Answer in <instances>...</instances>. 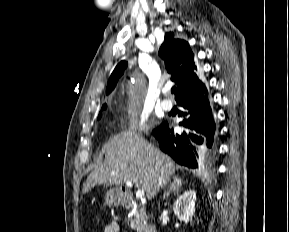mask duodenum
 I'll return each mask as SVG.
<instances>
[{"label":"duodenum","mask_w":289,"mask_h":232,"mask_svg":"<svg viewBox=\"0 0 289 232\" xmlns=\"http://www.w3.org/2000/svg\"><path fill=\"white\" fill-rule=\"evenodd\" d=\"M117 198H118L119 203L125 208L130 209V208L138 207L140 210L144 212L146 211L144 207H140L137 205L133 194L131 193V191L127 189L121 190ZM147 232H157V229L154 226H150Z\"/></svg>","instance_id":"duodenum-1"}]
</instances>
